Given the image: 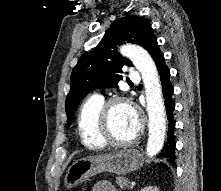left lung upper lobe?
Here are the masks:
<instances>
[{
    "label": "left lung upper lobe",
    "instance_id": "1",
    "mask_svg": "<svg viewBox=\"0 0 221 191\" xmlns=\"http://www.w3.org/2000/svg\"><path fill=\"white\" fill-rule=\"evenodd\" d=\"M156 39L149 22L137 16L117 19L101 42L90 52L84 53L71 74L70 92L65 109L68 126L81 100L92 90L113 88L122 79V67L132 63L117 52V46L134 43L147 51Z\"/></svg>",
    "mask_w": 221,
    "mask_h": 191
}]
</instances>
